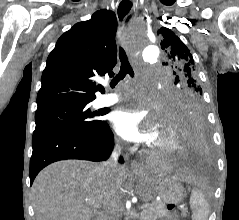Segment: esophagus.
<instances>
[{
	"instance_id": "esophagus-1",
	"label": "esophagus",
	"mask_w": 239,
	"mask_h": 220,
	"mask_svg": "<svg viewBox=\"0 0 239 220\" xmlns=\"http://www.w3.org/2000/svg\"><path fill=\"white\" fill-rule=\"evenodd\" d=\"M131 7L132 8L137 7L136 0H121V3L119 4V7H118V17L120 20H122L126 16V14L129 12V10H131V11L133 10ZM130 167H131V169H133L135 171L141 170L140 164L135 160H131Z\"/></svg>"
}]
</instances>
